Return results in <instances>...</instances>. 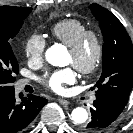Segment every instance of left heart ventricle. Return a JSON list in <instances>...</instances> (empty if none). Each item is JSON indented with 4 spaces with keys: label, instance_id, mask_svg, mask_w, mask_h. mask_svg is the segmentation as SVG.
Returning <instances> with one entry per match:
<instances>
[{
    "label": "left heart ventricle",
    "instance_id": "1",
    "mask_svg": "<svg viewBox=\"0 0 133 133\" xmlns=\"http://www.w3.org/2000/svg\"><path fill=\"white\" fill-rule=\"evenodd\" d=\"M94 44L89 41L80 55H74L70 51L67 54V60L70 64H88L94 57Z\"/></svg>",
    "mask_w": 133,
    "mask_h": 133
}]
</instances>
